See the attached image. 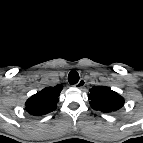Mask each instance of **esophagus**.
<instances>
[{"instance_id":"obj_1","label":"esophagus","mask_w":143,"mask_h":143,"mask_svg":"<svg viewBox=\"0 0 143 143\" xmlns=\"http://www.w3.org/2000/svg\"><path fill=\"white\" fill-rule=\"evenodd\" d=\"M85 85H86V81L83 78H81L79 82L76 84V87L83 88Z\"/></svg>"}]
</instances>
